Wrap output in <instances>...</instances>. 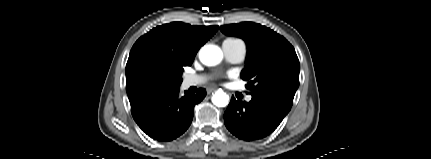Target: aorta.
Masks as SVG:
<instances>
[{
    "label": "aorta",
    "instance_id": "762f6f07",
    "mask_svg": "<svg viewBox=\"0 0 431 159\" xmlns=\"http://www.w3.org/2000/svg\"><path fill=\"white\" fill-rule=\"evenodd\" d=\"M199 58L203 64L214 66L221 62L223 54L219 47L215 45H207L200 50ZM212 102L217 107H225L229 103V97L223 91H217L212 96Z\"/></svg>",
    "mask_w": 431,
    "mask_h": 159
}]
</instances>
